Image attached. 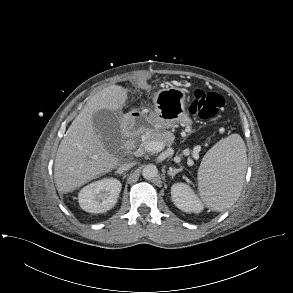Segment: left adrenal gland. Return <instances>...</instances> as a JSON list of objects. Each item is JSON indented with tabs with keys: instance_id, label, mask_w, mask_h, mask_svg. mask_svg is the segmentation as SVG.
Segmentation results:
<instances>
[{
	"instance_id": "1",
	"label": "left adrenal gland",
	"mask_w": 293,
	"mask_h": 293,
	"mask_svg": "<svg viewBox=\"0 0 293 293\" xmlns=\"http://www.w3.org/2000/svg\"><path fill=\"white\" fill-rule=\"evenodd\" d=\"M182 171V167L179 169H173V168H169V170L167 171L168 175H170L171 177H174L177 173Z\"/></svg>"
}]
</instances>
